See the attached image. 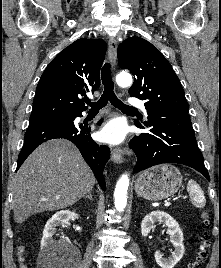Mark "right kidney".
<instances>
[{"label": "right kidney", "mask_w": 221, "mask_h": 268, "mask_svg": "<svg viewBox=\"0 0 221 268\" xmlns=\"http://www.w3.org/2000/svg\"><path fill=\"white\" fill-rule=\"evenodd\" d=\"M78 217L79 215L77 213L68 210H63L55 213L45 225V228L43 230V237L41 239V247L48 250L51 249L54 244L53 235L56 232V228L59 226L64 227L70 219H77ZM61 242L67 245L70 243V240L68 237L63 236L61 238Z\"/></svg>", "instance_id": "ca27d5eb"}]
</instances>
